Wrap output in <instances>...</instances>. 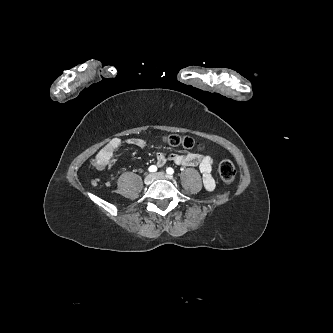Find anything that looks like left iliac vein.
I'll use <instances>...</instances> for the list:
<instances>
[{
    "instance_id": "left-iliac-vein-1",
    "label": "left iliac vein",
    "mask_w": 333,
    "mask_h": 333,
    "mask_svg": "<svg viewBox=\"0 0 333 333\" xmlns=\"http://www.w3.org/2000/svg\"><path fill=\"white\" fill-rule=\"evenodd\" d=\"M155 179H166L170 180L171 177L164 172H157L154 174Z\"/></svg>"
}]
</instances>
